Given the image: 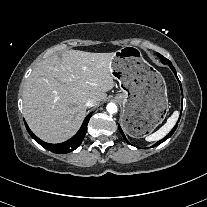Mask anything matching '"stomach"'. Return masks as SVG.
<instances>
[{
    "label": "stomach",
    "instance_id": "obj_1",
    "mask_svg": "<svg viewBox=\"0 0 207 207\" xmlns=\"http://www.w3.org/2000/svg\"><path fill=\"white\" fill-rule=\"evenodd\" d=\"M112 66L121 86L116 98L124 107V125L134 124L136 136L151 132L168 109L164 78L131 46L114 52Z\"/></svg>",
    "mask_w": 207,
    "mask_h": 207
}]
</instances>
